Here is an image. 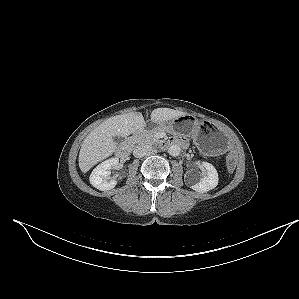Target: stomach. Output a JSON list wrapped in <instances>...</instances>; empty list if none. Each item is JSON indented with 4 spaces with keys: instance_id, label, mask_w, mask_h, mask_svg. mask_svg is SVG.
Listing matches in <instances>:
<instances>
[{
    "instance_id": "stomach-1",
    "label": "stomach",
    "mask_w": 299,
    "mask_h": 299,
    "mask_svg": "<svg viewBox=\"0 0 299 299\" xmlns=\"http://www.w3.org/2000/svg\"><path fill=\"white\" fill-rule=\"evenodd\" d=\"M154 126L152 123L149 125ZM158 127L171 131L176 128L180 133L190 134L195 145L208 154L220 153L226 147L227 137L220 127L188 115L158 123Z\"/></svg>"
}]
</instances>
